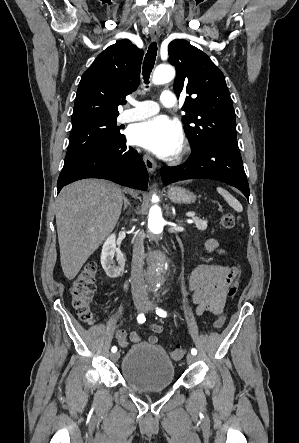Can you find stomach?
Segmentation results:
<instances>
[{
    "label": "stomach",
    "instance_id": "0dacf381",
    "mask_svg": "<svg viewBox=\"0 0 299 443\" xmlns=\"http://www.w3.org/2000/svg\"><path fill=\"white\" fill-rule=\"evenodd\" d=\"M168 196L171 201L176 203H193L196 199L192 192L177 186L169 188Z\"/></svg>",
    "mask_w": 299,
    "mask_h": 443
}]
</instances>
